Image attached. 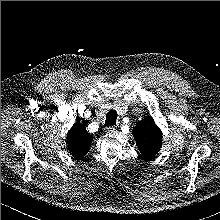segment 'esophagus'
I'll return each mask as SVG.
<instances>
[{"label": "esophagus", "instance_id": "1", "mask_svg": "<svg viewBox=\"0 0 220 220\" xmlns=\"http://www.w3.org/2000/svg\"><path fill=\"white\" fill-rule=\"evenodd\" d=\"M107 133H115L117 132V128L115 126H108L105 128Z\"/></svg>", "mask_w": 220, "mask_h": 220}]
</instances>
